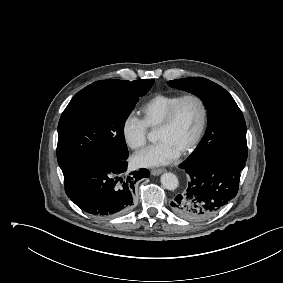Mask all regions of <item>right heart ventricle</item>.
Wrapping results in <instances>:
<instances>
[{
  "mask_svg": "<svg viewBox=\"0 0 283 283\" xmlns=\"http://www.w3.org/2000/svg\"><path fill=\"white\" fill-rule=\"evenodd\" d=\"M181 97L179 94H156L140 108L142 120L149 129H158L172 105Z\"/></svg>",
  "mask_w": 283,
  "mask_h": 283,
  "instance_id": "obj_1",
  "label": "right heart ventricle"
}]
</instances>
